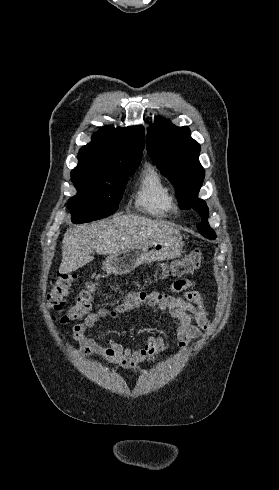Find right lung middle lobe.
Segmentation results:
<instances>
[{"instance_id": "right-lung-middle-lobe-1", "label": "right lung middle lobe", "mask_w": 279, "mask_h": 490, "mask_svg": "<svg viewBox=\"0 0 279 490\" xmlns=\"http://www.w3.org/2000/svg\"><path fill=\"white\" fill-rule=\"evenodd\" d=\"M138 166L122 168L105 176L71 174L78 193L68 201L72 222H91L112 215L128 181Z\"/></svg>"}]
</instances>
